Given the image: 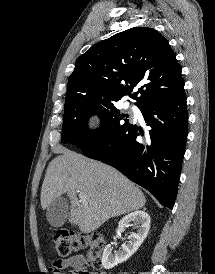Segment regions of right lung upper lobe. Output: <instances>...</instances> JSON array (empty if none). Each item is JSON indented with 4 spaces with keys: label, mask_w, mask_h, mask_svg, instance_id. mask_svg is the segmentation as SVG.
I'll return each instance as SVG.
<instances>
[{
    "label": "right lung upper lobe",
    "mask_w": 215,
    "mask_h": 274,
    "mask_svg": "<svg viewBox=\"0 0 215 274\" xmlns=\"http://www.w3.org/2000/svg\"><path fill=\"white\" fill-rule=\"evenodd\" d=\"M136 86L138 91L130 94ZM183 93L181 67L168 41L155 29L134 27L93 45L77 58L65 104L116 102L130 95L141 107Z\"/></svg>",
    "instance_id": "right-lung-upper-lobe-1"
}]
</instances>
